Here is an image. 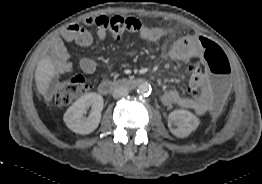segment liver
Instances as JSON below:
<instances>
[{"mask_svg": "<svg viewBox=\"0 0 262 184\" xmlns=\"http://www.w3.org/2000/svg\"><path fill=\"white\" fill-rule=\"evenodd\" d=\"M56 74L54 62L49 57L39 61L35 71V82L37 90L42 96H47L50 84Z\"/></svg>", "mask_w": 262, "mask_h": 184, "instance_id": "1", "label": "liver"}]
</instances>
